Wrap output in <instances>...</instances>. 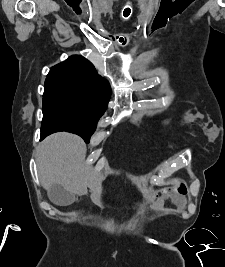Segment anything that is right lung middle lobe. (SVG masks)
<instances>
[{"instance_id": "right-lung-middle-lobe-1", "label": "right lung middle lobe", "mask_w": 225, "mask_h": 267, "mask_svg": "<svg viewBox=\"0 0 225 267\" xmlns=\"http://www.w3.org/2000/svg\"><path fill=\"white\" fill-rule=\"evenodd\" d=\"M105 108L83 89L62 83L44 85L42 123L77 134L86 143H89Z\"/></svg>"}]
</instances>
